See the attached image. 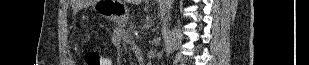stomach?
<instances>
[{"instance_id":"obj_1","label":"stomach","mask_w":309,"mask_h":65,"mask_svg":"<svg viewBox=\"0 0 309 65\" xmlns=\"http://www.w3.org/2000/svg\"><path fill=\"white\" fill-rule=\"evenodd\" d=\"M96 11L103 17L113 20L119 25L127 23V5L123 0H102L96 7Z\"/></svg>"}]
</instances>
